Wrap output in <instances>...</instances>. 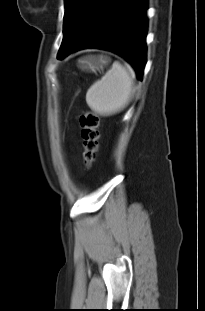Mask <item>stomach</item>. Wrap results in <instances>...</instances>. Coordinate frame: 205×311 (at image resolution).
Instances as JSON below:
<instances>
[{
  "instance_id": "stomach-1",
  "label": "stomach",
  "mask_w": 205,
  "mask_h": 311,
  "mask_svg": "<svg viewBox=\"0 0 205 311\" xmlns=\"http://www.w3.org/2000/svg\"><path fill=\"white\" fill-rule=\"evenodd\" d=\"M109 59L105 56H88L79 60V67L82 70L96 72L103 68L104 65H107Z\"/></svg>"
}]
</instances>
